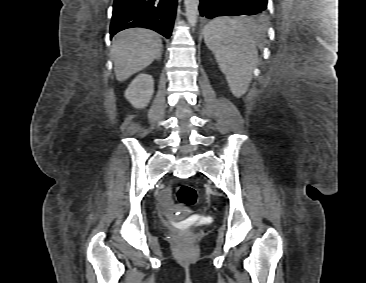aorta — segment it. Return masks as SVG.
Segmentation results:
<instances>
[{
  "label": "aorta",
  "mask_w": 366,
  "mask_h": 283,
  "mask_svg": "<svg viewBox=\"0 0 366 283\" xmlns=\"http://www.w3.org/2000/svg\"><path fill=\"white\" fill-rule=\"evenodd\" d=\"M185 15L188 23L195 26L198 18L199 0H184Z\"/></svg>",
  "instance_id": "762f6f07"
}]
</instances>
